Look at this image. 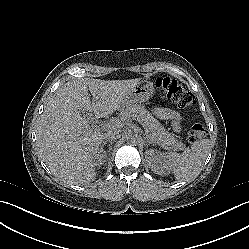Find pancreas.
<instances>
[{"mask_svg":"<svg viewBox=\"0 0 249 249\" xmlns=\"http://www.w3.org/2000/svg\"><path fill=\"white\" fill-rule=\"evenodd\" d=\"M124 118H135L142 124L147 136L154 142L167 145L172 148H178L180 142L168 131L164 129L162 124L155 119L151 113L143 105L132 104L122 111Z\"/></svg>","mask_w":249,"mask_h":249,"instance_id":"obj_1","label":"pancreas"}]
</instances>
